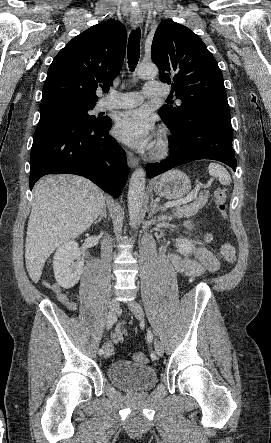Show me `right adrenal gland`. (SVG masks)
I'll list each match as a JSON object with an SVG mask.
<instances>
[{
  "mask_svg": "<svg viewBox=\"0 0 271 443\" xmlns=\"http://www.w3.org/2000/svg\"><path fill=\"white\" fill-rule=\"evenodd\" d=\"M107 206H104V208H102L99 216H98V220H96V222L94 223H99L101 222L102 218H107V210H106Z\"/></svg>",
  "mask_w": 271,
  "mask_h": 443,
  "instance_id": "right-adrenal-gland-1",
  "label": "right adrenal gland"
}]
</instances>
